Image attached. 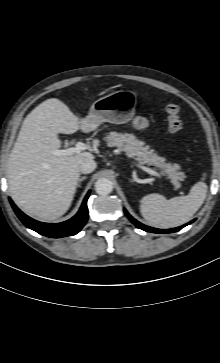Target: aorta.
I'll return each instance as SVG.
<instances>
[{
  "instance_id": "1",
  "label": "aorta",
  "mask_w": 220,
  "mask_h": 363,
  "mask_svg": "<svg viewBox=\"0 0 220 363\" xmlns=\"http://www.w3.org/2000/svg\"><path fill=\"white\" fill-rule=\"evenodd\" d=\"M112 190H113V183L108 178L102 177L98 179L95 183V191L99 195H108L112 192Z\"/></svg>"
}]
</instances>
